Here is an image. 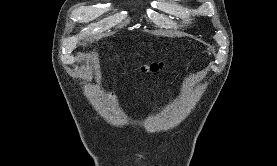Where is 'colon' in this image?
I'll use <instances>...</instances> for the list:
<instances>
[{
  "label": "colon",
  "instance_id": "5ec220e1",
  "mask_svg": "<svg viewBox=\"0 0 277 166\" xmlns=\"http://www.w3.org/2000/svg\"><path fill=\"white\" fill-rule=\"evenodd\" d=\"M162 67H163L162 63H152L149 66H147L146 69L155 72L162 69Z\"/></svg>",
  "mask_w": 277,
  "mask_h": 166
}]
</instances>
